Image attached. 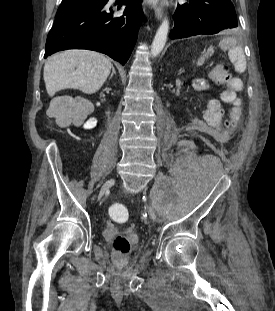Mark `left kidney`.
I'll return each mask as SVG.
<instances>
[{
    "mask_svg": "<svg viewBox=\"0 0 275 311\" xmlns=\"http://www.w3.org/2000/svg\"><path fill=\"white\" fill-rule=\"evenodd\" d=\"M173 87L175 88V89H178L179 87H180V84L178 83V82H175L174 84H173ZM179 94V93H178Z\"/></svg>",
    "mask_w": 275,
    "mask_h": 311,
    "instance_id": "obj_1",
    "label": "left kidney"
}]
</instances>
